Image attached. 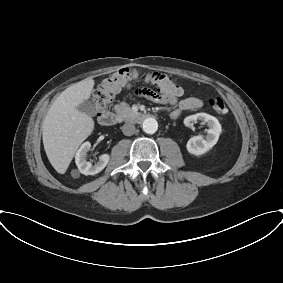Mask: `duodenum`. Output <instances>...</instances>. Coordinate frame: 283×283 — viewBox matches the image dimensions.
Listing matches in <instances>:
<instances>
[{
	"mask_svg": "<svg viewBox=\"0 0 283 283\" xmlns=\"http://www.w3.org/2000/svg\"><path fill=\"white\" fill-rule=\"evenodd\" d=\"M150 117L149 113L146 112H136L133 114L131 121L141 123ZM117 117L115 113L111 111L102 112L98 116V122L102 126H112L116 123Z\"/></svg>",
	"mask_w": 283,
	"mask_h": 283,
	"instance_id": "1",
	"label": "duodenum"
}]
</instances>
